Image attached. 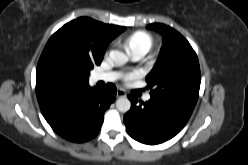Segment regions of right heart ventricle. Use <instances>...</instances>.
<instances>
[{
  "label": "right heart ventricle",
  "mask_w": 248,
  "mask_h": 165,
  "mask_svg": "<svg viewBox=\"0 0 248 165\" xmlns=\"http://www.w3.org/2000/svg\"><path fill=\"white\" fill-rule=\"evenodd\" d=\"M153 37L145 31H137L126 39V46L130 52L144 48L147 51L152 47Z\"/></svg>",
  "instance_id": "right-heart-ventricle-1"
}]
</instances>
